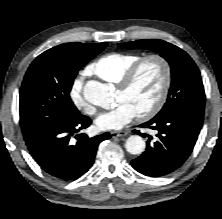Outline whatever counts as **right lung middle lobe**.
I'll return each instance as SVG.
<instances>
[{"label":"right lung middle lobe","mask_w":222,"mask_h":219,"mask_svg":"<svg viewBox=\"0 0 222 219\" xmlns=\"http://www.w3.org/2000/svg\"><path fill=\"white\" fill-rule=\"evenodd\" d=\"M108 43H65L39 55L27 70L20 89L19 114L24 138L67 114H79L70 91L79 69Z\"/></svg>","instance_id":"obj_1"}]
</instances>
